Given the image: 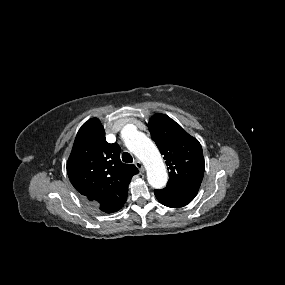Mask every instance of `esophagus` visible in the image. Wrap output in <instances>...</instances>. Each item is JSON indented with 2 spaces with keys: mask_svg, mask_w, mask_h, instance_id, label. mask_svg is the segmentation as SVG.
Returning a JSON list of instances; mask_svg holds the SVG:
<instances>
[{
  "mask_svg": "<svg viewBox=\"0 0 285 285\" xmlns=\"http://www.w3.org/2000/svg\"><path fill=\"white\" fill-rule=\"evenodd\" d=\"M134 164L139 169L140 172H144L145 171V168H144V166H143L141 161L135 160Z\"/></svg>",
  "mask_w": 285,
  "mask_h": 285,
  "instance_id": "1",
  "label": "esophagus"
}]
</instances>
